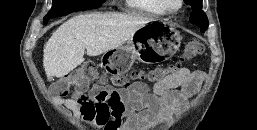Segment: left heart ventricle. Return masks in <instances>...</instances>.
<instances>
[{
  "label": "left heart ventricle",
  "instance_id": "left-heart-ventricle-1",
  "mask_svg": "<svg viewBox=\"0 0 257 130\" xmlns=\"http://www.w3.org/2000/svg\"><path fill=\"white\" fill-rule=\"evenodd\" d=\"M172 3H173L174 5H176L177 2H176V0H172Z\"/></svg>",
  "mask_w": 257,
  "mask_h": 130
}]
</instances>
